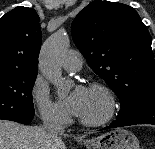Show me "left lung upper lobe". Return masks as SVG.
Returning <instances> with one entry per match:
<instances>
[{
    "mask_svg": "<svg viewBox=\"0 0 155 149\" xmlns=\"http://www.w3.org/2000/svg\"><path fill=\"white\" fill-rule=\"evenodd\" d=\"M72 37L88 65L129 108L155 91V62L147 27L130 6L94 1L73 20Z\"/></svg>",
    "mask_w": 155,
    "mask_h": 149,
    "instance_id": "left-lung-upper-lobe-1",
    "label": "left lung upper lobe"
}]
</instances>
